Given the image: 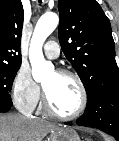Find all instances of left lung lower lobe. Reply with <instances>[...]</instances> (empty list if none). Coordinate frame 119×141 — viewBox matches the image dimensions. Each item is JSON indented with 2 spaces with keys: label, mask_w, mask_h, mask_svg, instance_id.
<instances>
[{
  "label": "left lung lower lobe",
  "mask_w": 119,
  "mask_h": 141,
  "mask_svg": "<svg viewBox=\"0 0 119 141\" xmlns=\"http://www.w3.org/2000/svg\"><path fill=\"white\" fill-rule=\"evenodd\" d=\"M76 123L100 129L119 141V88L103 91L87 100L86 110Z\"/></svg>",
  "instance_id": "1"
}]
</instances>
